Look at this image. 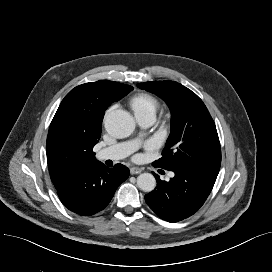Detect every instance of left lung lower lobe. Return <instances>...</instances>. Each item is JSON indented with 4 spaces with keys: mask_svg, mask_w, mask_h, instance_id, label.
<instances>
[{
    "mask_svg": "<svg viewBox=\"0 0 272 272\" xmlns=\"http://www.w3.org/2000/svg\"><path fill=\"white\" fill-rule=\"evenodd\" d=\"M175 176L169 182L160 180L145 195L148 206L162 219L178 222L193 215L204 204L216 181L219 169L201 166L171 169Z\"/></svg>",
    "mask_w": 272,
    "mask_h": 272,
    "instance_id": "left-lung-lower-lobe-1",
    "label": "left lung lower lobe"
}]
</instances>
